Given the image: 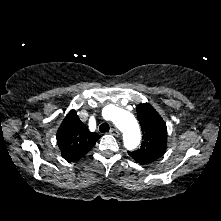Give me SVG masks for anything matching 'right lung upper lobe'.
Masks as SVG:
<instances>
[{"mask_svg": "<svg viewBox=\"0 0 221 221\" xmlns=\"http://www.w3.org/2000/svg\"><path fill=\"white\" fill-rule=\"evenodd\" d=\"M56 138L62 157L74 162L93 148L100 135L90 132L76 111L71 110L61 123Z\"/></svg>", "mask_w": 221, "mask_h": 221, "instance_id": "obj_1", "label": "right lung upper lobe"}]
</instances>
